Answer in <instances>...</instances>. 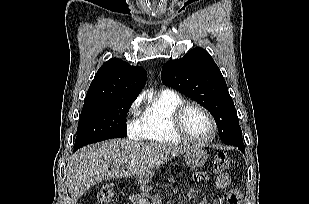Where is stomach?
<instances>
[{
  "label": "stomach",
  "instance_id": "1",
  "mask_svg": "<svg viewBox=\"0 0 309 204\" xmlns=\"http://www.w3.org/2000/svg\"><path fill=\"white\" fill-rule=\"evenodd\" d=\"M207 156V152L200 146L189 148L184 155L186 165L190 168H198L203 166L207 160ZM153 176L154 171L149 170L145 173L136 175V181L141 185H145L152 180Z\"/></svg>",
  "mask_w": 309,
  "mask_h": 204
}]
</instances>
